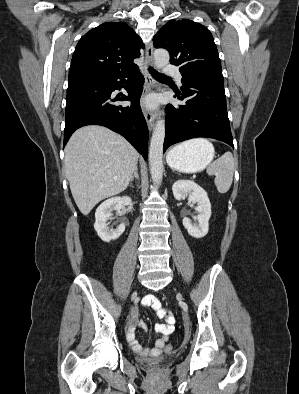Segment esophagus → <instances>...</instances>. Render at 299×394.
I'll use <instances>...</instances> for the list:
<instances>
[{
  "label": "esophagus",
  "mask_w": 299,
  "mask_h": 394,
  "mask_svg": "<svg viewBox=\"0 0 299 394\" xmlns=\"http://www.w3.org/2000/svg\"><path fill=\"white\" fill-rule=\"evenodd\" d=\"M153 66V44L149 43L146 47L145 53V89L144 94H147L151 90L157 87L156 81L152 78V76L148 72V67ZM143 114L145 116L147 125L149 130H152L155 120H156V113L150 109H147L143 106Z\"/></svg>",
  "instance_id": "34e87169"
}]
</instances>
